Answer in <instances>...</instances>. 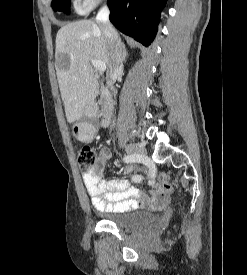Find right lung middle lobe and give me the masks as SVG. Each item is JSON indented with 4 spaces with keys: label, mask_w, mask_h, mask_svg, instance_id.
I'll return each instance as SVG.
<instances>
[{
    "label": "right lung middle lobe",
    "mask_w": 247,
    "mask_h": 275,
    "mask_svg": "<svg viewBox=\"0 0 247 275\" xmlns=\"http://www.w3.org/2000/svg\"><path fill=\"white\" fill-rule=\"evenodd\" d=\"M70 0H52V7L55 11H62L69 14Z\"/></svg>",
    "instance_id": "dd1d6c3e"
}]
</instances>
